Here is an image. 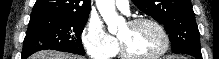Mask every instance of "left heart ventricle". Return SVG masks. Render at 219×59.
Wrapping results in <instances>:
<instances>
[{
	"label": "left heart ventricle",
	"mask_w": 219,
	"mask_h": 59,
	"mask_svg": "<svg viewBox=\"0 0 219 59\" xmlns=\"http://www.w3.org/2000/svg\"><path fill=\"white\" fill-rule=\"evenodd\" d=\"M127 49L138 56H149L162 47V37L150 24H126L117 34Z\"/></svg>",
	"instance_id": "left-heart-ventricle-1"
}]
</instances>
